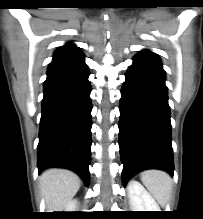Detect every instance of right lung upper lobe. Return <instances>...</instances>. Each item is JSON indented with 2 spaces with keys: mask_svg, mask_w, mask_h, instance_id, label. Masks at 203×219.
<instances>
[{
  "mask_svg": "<svg viewBox=\"0 0 203 219\" xmlns=\"http://www.w3.org/2000/svg\"><path fill=\"white\" fill-rule=\"evenodd\" d=\"M84 57V54L72 43L60 47L53 56V61L73 60Z\"/></svg>",
  "mask_w": 203,
  "mask_h": 219,
  "instance_id": "cb5924a9",
  "label": "right lung upper lobe"
}]
</instances>
